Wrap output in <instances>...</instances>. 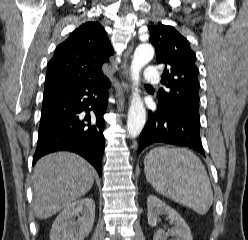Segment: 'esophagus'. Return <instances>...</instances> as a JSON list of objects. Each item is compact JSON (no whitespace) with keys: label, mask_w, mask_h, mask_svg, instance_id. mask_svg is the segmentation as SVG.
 <instances>
[{"label":"esophagus","mask_w":248,"mask_h":240,"mask_svg":"<svg viewBox=\"0 0 248 240\" xmlns=\"http://www.w3.org/2000/svg\"><path fill=\"white\" fill-rule=\"evenodd\" d=\"M133 50V45H130L129 48L127 49V51L124 53V62L122 64V68H123V73L125 75L126 78H128V65L127 62L131 56ZM123 87L128 91L129 90V85L128 83H123Z\"/></svg>","instance_id":"esophagus-1"}]
</instances>
